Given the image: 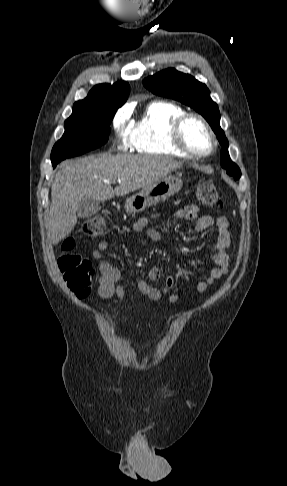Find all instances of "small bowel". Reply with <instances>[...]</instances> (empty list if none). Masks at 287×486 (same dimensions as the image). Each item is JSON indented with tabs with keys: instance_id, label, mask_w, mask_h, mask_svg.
Here are the masks:
<instances>
[{
	"instance_id": "c3829d8e",
	"label": "small bowel",
	"mask_w": 287,
	"mask_h": 486,
	"mask_svg": "<svg viewBox=\"0 0 287 486\" xmlns=\"http://www.w3.org/2000/svg\"><path fill=\"white\" fill-rule=\"evenodd\" d=\"M173 217L176 219L195 220V230L203 232L211 227H215L217 237L215 241V254L213 260L216 266L211 270L209 276L205 280L198 281L196 289L199 292H204L214 282L229 273V256L227 249L230 245V227L229 222L225 216H219L214 219L210 215H198V207L196 205H188L184 208L173 212ZM161 213H152L149 216L140 217L134 224L133 230L137 233L145 234L152 241H159L162 238L161 232L149 225L151 220L157 219ZM109 243L106 240L100 241L93 250L92 256L98 262L100 270L99 286L97 293L99 297L108 299L112 296H117L120 299L125 298L126 291L121 283V272L118 268L111 265L108 261L102 258V253L108 249ZM162 270L158 266L151 267L147 272V279L150 281H159L162 279ZM175 285V277L168 275L163 279V285L153 286L144 279H137L136 286L138 290L145 297L157 301L164 297L170 289ZM169 301L177 303L181 299V294L172 292L169 294Z\"/></svg>"
}]
</instances>
